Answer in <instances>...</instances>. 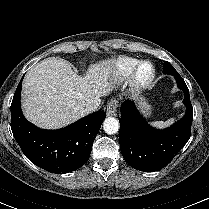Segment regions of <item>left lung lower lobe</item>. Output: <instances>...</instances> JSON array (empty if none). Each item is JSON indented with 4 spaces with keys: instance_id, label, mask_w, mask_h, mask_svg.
<instances>
[{
    "instance_id": "left-lung-lower-lobe-1",
    "label": "left lung lower lobe",
    "mask_w": 209,
    "mask_h": 209,
    "mask_svg": "<svg viewBox=\"0 0 209 209\" xmlns=\"http://www.w3.org/2000/svg\"><path fill=\"white\" fill-rule=\"evenodd\" d=\"M172 75L184 91L183 103L187 110L184 117L168 129L157 130L148 125L133 102L127 100L121 105L120 149L134 169L154 172L164 168L190 138L193 107L189 90L178 72Z\"/></svg>"
}]
</instances>
